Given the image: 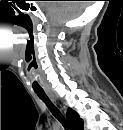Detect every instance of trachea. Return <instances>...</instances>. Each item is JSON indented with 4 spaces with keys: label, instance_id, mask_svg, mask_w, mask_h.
<instances>
[{
    "label": "trachea",
    "instance_id": "obj_1",
    "mask_svg": "<svg viewBox=\"0 0 123 130\" xmlns=\"http://www.w3.org/2000/svg\"><path fill=\"white\" fill-rule=\"evenodd\" d=\"M36 95L47 105L53 115L61 122L65 130H70V126L61 112L52 104L45 92H35Z\"/></svg>",
    "mask_w": 123,
    "mask_h": 130
}]
</instances>
